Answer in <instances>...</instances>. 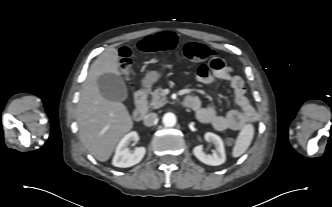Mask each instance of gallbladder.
Returning a JSON list of instances; mask_svg holds the SVG:
<instances>
[{
	"label": "gallbladder",
	"mask_w": 332,
	"mask_h": 207,
	"mask_svg": "<svg viewBox=\"0 0 332 207\" xmlns=\"http://www.w3.org/2000/svg\"><path fill=\"white\" fill-rule=\"evenodd\" d=\"M97 84L101 95L107 100L122 102L128 97L123 79L116 74L100 75L97 79Z\"/></svg>",
	"instance_id": "obj_1"
}]
</instances>
